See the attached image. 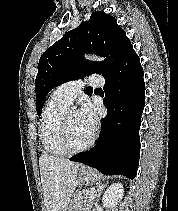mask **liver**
Listing matches in <instances>:
<instances>
[{
  "label": "liver",
  "mask_w": 178,
  "mask_h": 211,
  "mask_svg": "<svg viewBox=\"0 0 178 211\" xmlns=\"http://www.w3.org/2000/svg\"><path fill=\"white\" fill-rule=\"evenodd\" d=\"M39 167L46 211H67L78 185L79 164L65 158L42 154Z\"/></svg>",
  "instance_id": "obj_1"
}]
</instances>
